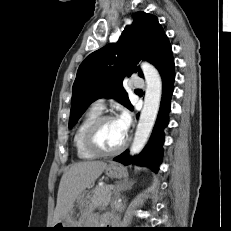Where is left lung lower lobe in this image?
I'll return each instance as SVG.
<instances>
[{"label": "left lung lower lobe", "instance_id": "0a47b994", "mask_svg": "<svg viewBox=\"0 0 231 231\" xmlns=\"http://www.w3.org/2000/svg\"><path fill=\"white\" fill-rule=\"evenodd\" d=\"M162 77L163 89L162 100L149 143L137 157L129 158V151L126 150L113 160L124 165L134 163L140 166H147L154 172L158 171V164L162 159L163 129L168 124V112L170 110V99L173 92L175 79L174 59L171 45L168 38L163 42L158 53L152 61Z\"/></svg>", "mask_w": 231, "mask_h": 231}]
</instances>
